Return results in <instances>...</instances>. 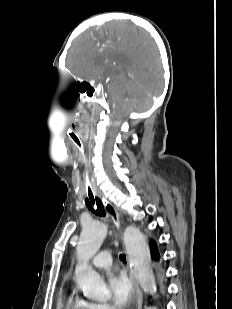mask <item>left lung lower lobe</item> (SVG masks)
Instances as JSON below:
<instances>
[{
	"label": "left lung lower lobe",
	"mask_w": 232,
	"mask_h": 309,
	"mask_svg": "<svg viewBox=\"0 0 232 309\" xmlns=\"http://www.w3.org/2000/svg\"><path fill=\"white\" fill-rule=\"evenodd\" d=\"M150 250H151V258L156 265L158 272L160 275L163 274V266H162V252L157 244L156 240L152 239L150 242Z\"/></svg>",
	"instance_id": "1"
}]
</instances>
